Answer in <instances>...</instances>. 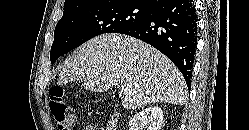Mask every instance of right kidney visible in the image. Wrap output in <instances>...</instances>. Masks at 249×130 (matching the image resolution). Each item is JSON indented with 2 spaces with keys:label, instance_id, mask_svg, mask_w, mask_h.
<instances>
[{
  "label": "right kidney",
  "instance_id": "1",
  "mask_svg": "<svg viewBox=\"0 0 249 130\" xmlns=\"http://www.w3.org/2000/svg\"><path fill=\"white\" fill-rule=\"evenodd\" d=\"M163 121V111L158 106H150L136 113L129 122L130 130H142L148 125V130H160Z\"/></svg>",
  "mask_w": 249,
  "mask_h": 130
}]
</instances>
